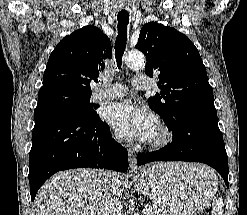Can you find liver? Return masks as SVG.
Segmentation results:
<instances>
[{"instance_id":"6515ba94","label":"liver","mask_w":247,"mask_h":215,"mask_svg":"<svg viewBox=\"0 0 247 215\" xmlns=\"http://www.w3.org/2000/svg\"><path fill=\"white\" fill-rule=\"evenodd\" d=\"M103 175L101 170L84 168L54 175L37 193L35 215H104L109 190Z\"/></svg>"}]
</instances>
